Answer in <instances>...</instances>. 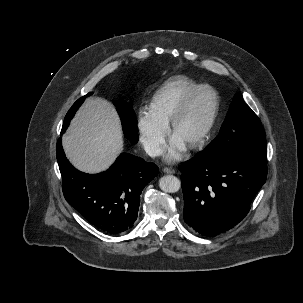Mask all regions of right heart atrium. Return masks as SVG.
I'll return each instance as SVG.
<instances>
[{
    "mask_svg": "<svg viewBox=\"0 0 303 303\" xmlns=\"http://www.w3.org/2000/svg\"><path fill=\"white\" fill-rule=\"evenodd\" d=\"M137 128L140 140L150 156L161 154L167 134L166 125L159 122L147 109H141L137 115Z\"/></svg>",
    "mask_w": 303,
    "mask_h": 303,
    "instance_id": "1",
    "label": "right heart atrium"
}]
</instances>
